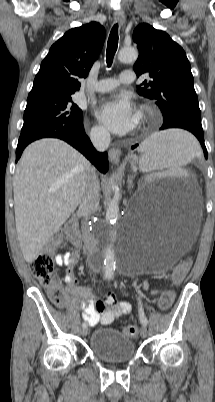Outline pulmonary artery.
<instances>
[{"label": "pulmonary artery", "instance_id": "1", "mask_svg": "<svg viewBox=\"0 0 215 402\" xmlns=\"http://www.w3.org/2000/svg\"><path fill=\"white\" fill-rule=\"evenodd\" d=\"M135 79L133 71H123L119 78H107L102 79L94 84V90L97 92H107L116 88L120 83L129 84Z\"/></svg>", "mask_w": 215, "mask_h": 402}]
</instances>
